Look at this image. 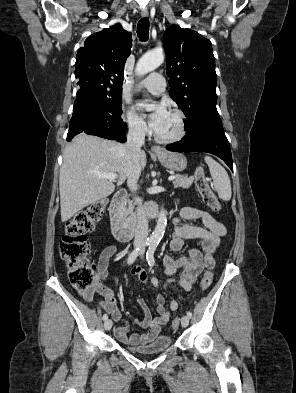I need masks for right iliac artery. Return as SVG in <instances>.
Instances as JSON below:
<instances>
[{
  "mask_svg": "<svg viewBox=\"0 0 296 393\" xmlns=\"http://www.w3.org/2000/svg\"><path fill=\"white\" fill-rule=\"evenodd\" d=\"M150 244H151V242L146 241L145 243L142 244V246L137 247V248L129 255L128 260H127V263H128L129 265H131V264L136 260L138 254H139V252H140V250H141V248L144 247V246H149ZM102 319H103L104 321H106V320L108 319V315H107V314H104L103 317H102Z\"/></svg>",
  "mask_w": 296,
  "mask_h": 393,
  "instance_id": "1",
  "label": "right iliac artery"
}]
</instances>
